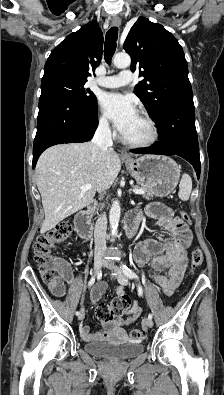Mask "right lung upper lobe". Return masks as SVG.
Segmentation results:
<instances>
[{"label":"right lung upper lobe","instance_id":"obj_1","mask_svg":"<svg viewBox=\"0 0 224 395\" xmlns=\"http://www.w3.org/2000/svg\"><path fill=\"white\" fill-rule=\"evenodd\" d=\"M102 51V31L96 22H88L52 50L44 75L63 73L87 81L90 72L99 65Z\"/></svg>","mask_w":224,"mask_h":395}]
</instances>
